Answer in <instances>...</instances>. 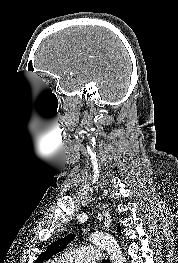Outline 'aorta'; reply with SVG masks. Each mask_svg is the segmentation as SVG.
Returning a JSON list of instances; mask_svg holds the SVG:
<instances>
[{"label": "aorta", "instance_id": "1", "mask_svg": "<svg viewBox=\"0 0 178 263\" xmlns=\"http://www.w3.org/2000/svg\"><path fill=\"white\" fill-rule=\"evenodd\" d=\"M90 241L110 254L112 263H126V259L114 237L106 233H93L90 236Z\"/></svg>", "mask_w": 178, "mask_h": 263}]
</instances>
